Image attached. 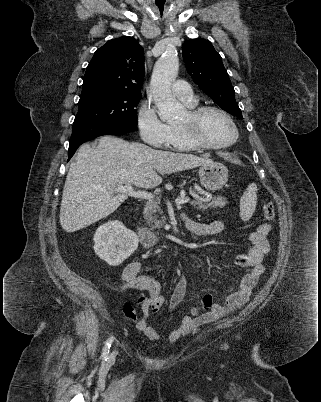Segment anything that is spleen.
Returning <instances> with one entry per match:
<instances>
[{"label": "spleen", "instance_id": "spleen-1", "mask_svg": "<svg viewBox=\"0 0 321 402\" xmlns=\"http://www.w3.org/2000/svg\"><path fill=\"white\" fill-rule=\"evenodd\" d=\"M257 185L255 183L249 184L240 199V217L246 222L248 221L256 208L257 204Z\"/></svg>", "mask_w": 321, "mask_h": 402}]
</instances>
